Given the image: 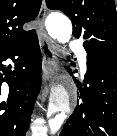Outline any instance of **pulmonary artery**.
<instances>
[{"instance_id":"e3ab8cb5","label":"pulmonary artery","mask_w":117,"mask_h":136,"mask_svg":"<svg viewBox=\"0 0 117 136\" xmlns=\"http://www.w3.org/2000/svg\"><path fill=\"white\" fill-rule=\"evenodd\" d=\"M70 48L75 51L78 55L79 62H80V67L83 73L86 72V62H87V53L84 50L83 47H81L78 43H71Z\"/></svg>"}]
</instances>
